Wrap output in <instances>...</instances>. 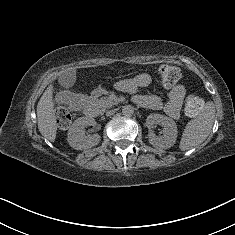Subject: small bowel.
I'll list each match as a JSON object with an SVG mask.
<instances>
[{
    "mask_svg": "<svg viewBox=\"0 0 235 235\" xmlns=\"http://www.w3.org/2000/svg\"><path fill=\"white\" fill-rule=\"evenodd\" d=\"M150 83V78L146 74L137 76L132 85L130 83L120 84L122 88L133 86L134 88H143ZM186 88L183 85H175L169 92L168 98L164 101L158 96L137 94L134 101L142 107L163 110L169 117L176 119L179 117L180 109Z\"/></svg>",
    "mask_w": 235,
    "mask_h": 235,
    "instance_id": "small-bowel-1",
    "label": "small bowel"
}]
</instances>
